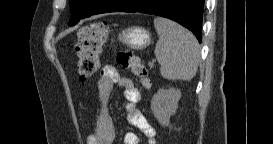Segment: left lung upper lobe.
Masks as SVG:
<instances>
[{"label": "left lung upper lobe", "mask_w": 273, "mask_h": 144, "mask_svg": "<svg viewBox=\"0 0 273 144\" xmlns=\"http://www.w3.org/2000/svg\"><path fill=\"white\" fill-rule=\"evenodd\" d=\"M95 4V0H70V12L72 16L82 14L90 10Z\"/></svg>", "instance_id": "obj_1"}]
</instances>
